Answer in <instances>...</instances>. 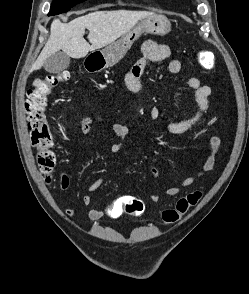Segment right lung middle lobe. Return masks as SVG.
<instances>
[{
	"label": "right lung middle lobe",
	"instance_id": "dd1d6c3e",
	"mask_svg": "<svg viewBox=\"0 0 249 294\" xmlns=\"http://www.w3.org/2000/svg\"><path fill=\"white\" fill-rule=\"evenodd\" d=\"M85 0H53L48 15H57L69 11L73 6Z\"/></svg>",
	"mask_w": 249,
	"mask_h": 294
}]
</instances>
